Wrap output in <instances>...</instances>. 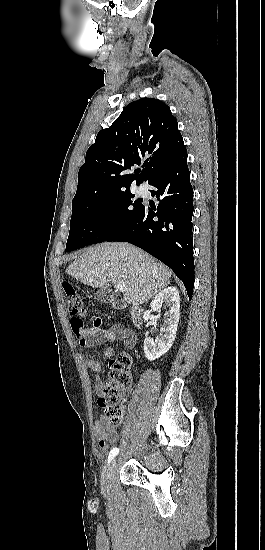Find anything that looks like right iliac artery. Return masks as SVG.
I'll list each match as a JSON object with an SVG mask.
<instances>
[{
	"label": "right iliac artery",
	"mask_w": 265,
	"mask_h": 550,
	"mask_svg": "<svg viewBox=\"0 0 265 550\" xmlns=\"http://www.w3.org/2000/svg\"><path fill=\"white\" fill-rule=\"evenodd\" d=\"M118 453H119V448L114 447L109 453L108 462H110Z\"/></svg>",
	"instance_id": "82829eb1"
}]
</instances>
